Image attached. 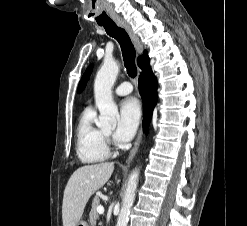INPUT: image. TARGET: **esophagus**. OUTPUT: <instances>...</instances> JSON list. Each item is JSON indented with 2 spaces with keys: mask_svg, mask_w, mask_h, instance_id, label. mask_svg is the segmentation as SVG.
<instances>
[{
  "mask_svg": "<svg viewBox=\"0 0 247 226\" xmlns=\"http://www.w3.org/2000/svg\"><path fill=\"white\" fill-rule=\"evenodd\" d=\"M116 23H117L118 26H120V27H122V28H124L126 30V32L130 36V38H131V40H132V42H133V44L135 46L137 52L139 54H141L142 50H143V46H142L138 36L133 32V30L130 27V25L126 21H124L123 19H117ZM141 138H142V131H140L138 139H137V141L135 143V146L132 149V151L130 152V155H129L128 159H127V164H129L132 161V159L134 158V156H135V154H136V152L138 150Z\"/></svg>",
  "mask_w": 247,
  "mask_h": 226,
  "instance_id": "34e87169",
  "label": "esophagus"
}]
</instances>
